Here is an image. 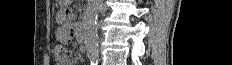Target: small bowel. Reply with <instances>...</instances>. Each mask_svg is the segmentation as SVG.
I'll use <instances>...</instances> for the list:
<instances>
[{
    "instance_id": "c3829d8e",
    "label": "small bowel",
    "mask_w": 232,
    "mask_h": 65,
    "mask_svg": "<svg viewBox=\"0 0 232 65\" xmlns=\"http://www.w3.org/2000/svg\"><path fill=\"white\" fill-rule=\"evenodd\" d=\"M74 12H57V16L54 17L55 21H67L68 17H74ZM71 28V23H62V26H58L56 37L61 45H71V47H80V42H71L73 37H76V32H68ZM60 65H71L69 60L64 61Z\"/></svg>"
}]
</instances>
